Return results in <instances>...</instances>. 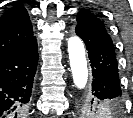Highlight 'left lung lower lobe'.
<instances>
[{"label": "left lung lower lobe", "mask_w": 133, "mask_h": 118, "mask_svg": "<svg viewBox=\"0 0 133 118\" xmlns=\"http://www.w3.org/2000/svg\"><path fill=\"white\" fill-rule=\"evenodd\" d=\"M75 31L88 50L93 76L89 91L95 101H122L118 64L111 38L81 26H76Z\"/></svg>", "instance_id": "obj_1"}]
</instances>
